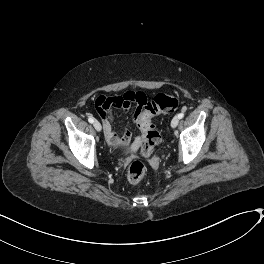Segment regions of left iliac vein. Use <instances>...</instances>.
Segmentation results:
<instances>
[{
    "instance_id": "1",
    "label": "left iliac vein",
    "mask_w": 264,
    "mask_h": 264,
    "mask_svg": "<svg viewBox=\"0 0 264 264\" xmlns=\"http://www.w3.org/2000/svg\"><path fill=\"white\" fill-rule=\"evenodd\" d=\"M178 123H179V117H178V115H176L173 117V119L171 121V127L176 128Z\"/></svg>"
}]
</instances>
